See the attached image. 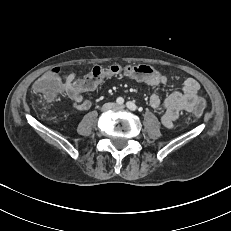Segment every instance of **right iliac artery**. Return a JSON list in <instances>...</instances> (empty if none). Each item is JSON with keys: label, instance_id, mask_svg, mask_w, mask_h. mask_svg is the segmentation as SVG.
<instances>
[{"label": "right iliac artery", "instance_id": "obj_1", "mask_svg": "<svg viewBox=\"0 0 231 231\" xmlns=\"http://www.w3.org/2000/svg\"><path fill=\"white\" fill-rule=\"evenodd\" d=\"M116 101H117L118 104H123L124 103V99L122 97H118Z\"/></svg>", "mask_w": 231, "mask_h": 231}]
</instances>
